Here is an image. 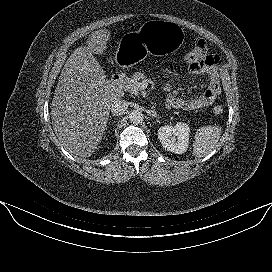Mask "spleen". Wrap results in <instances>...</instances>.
Returning a JSON list of instances; mask_svg holds the SVG:
<instances>
[{"instance_id": "3e777b00", "label": "spleen", "mask_w": 272, "mask_h": 272, "mask_svg": "<svg viewBox=\"0 0 272 272\" xmlns=\"http://www.w3.org/2000/svg\"><path fill=\"white\" fill-rule=\"evenodd\" d=\"M221 133V127L217 125L200 127L195 134L193 155L196 158H201L209 154L218 143Z\"/></svg>"}]
</instances>
